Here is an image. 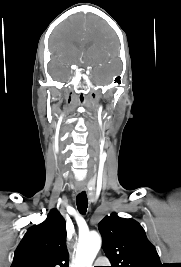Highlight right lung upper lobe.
Segmentation results:
<instances>
[{"label":"right lung upper lobe","mask_w":181,"mask_h":267,"mask_svg":"<svg viewBox=\"0 0 181 267\" xmlns=\"http://www.w3.org/2000/svg\"><path fill=\"white\" fill-rule=\"evenodd\" d=\"M11 267H68L66 224L56 209L43 223L27 230Z\"/></svg>","instance_id":"right-lung-upper-lobe-1"}]
</instances>
